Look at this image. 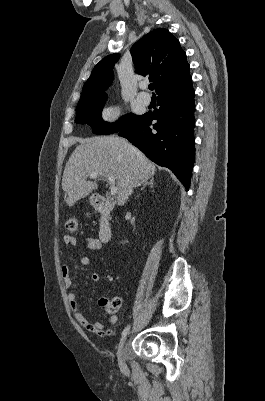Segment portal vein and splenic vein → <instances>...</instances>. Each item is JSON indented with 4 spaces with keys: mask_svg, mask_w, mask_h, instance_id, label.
<instances>
[{
    "mask_svg": "<svg viewBox=\"0 0 265 401\" xmlns=\"http://www.w3.org/2000/svg\"><path fill=\"white\" fill-rule=\"evenodd\" d=\"M90 176H91V178H95V176H98V172H91ZM106 176H107L108 182H110V184H111V190H110L111 194H117L118 188H116V186H115L116 178H114V176H112V174H106Z\"/></svg>",
    "mask_w": 265,
    "mask_h": 401,
    "instance_id": "18ae733b",
    "label": "portal vein and splenic vein"
}]
</instances>
